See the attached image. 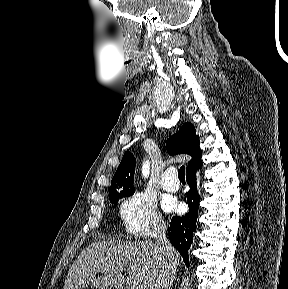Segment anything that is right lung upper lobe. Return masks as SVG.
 <instances>
[{
	"mask_svg": "<svg viewBox=\"0 0 288 289\" xmlns=\"http://www.w3.org/2000/svg\"><path fill=\"white\" fill-rule=\"evenodd\" d=\"M166 147L170 155L184 153L192 156V160L189 161L186 171L201 160L199 138L196 135L195 127L189 122L183 124L178 133L167 140ZM135 162L136 159L133 154L126 151L111 181L110 192L134 189L132 185Z\"/></svg>",
	"mask_w": 288,
	"mask_h": 289,
	"instance_id": "1",
	"label": "right lung upper lobe"
}]
</instances>
